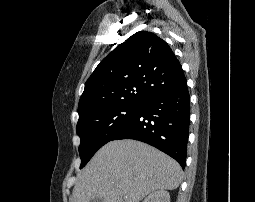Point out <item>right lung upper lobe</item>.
<instances>
[{"instance_id": "1", "label": "right lung upper lobe", "mask_w": 255, "mask_h": 202, "mask_svg": "<svg viewBox=\"0 0 255 202\" xmlns=\"http://www.w3.org/2000/svg\"><path fill=\"white\" fill-rule=\"evenodd\" d=\"M186 82L182 66L168 44L140 31L119 44L85 83L79 118L121 104H142L151 96Z\"/></svg>"}]
</instances>
